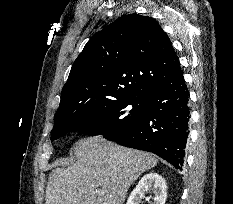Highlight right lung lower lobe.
Returning <instances> with one entry per match:
<instances>
[{"label": "right lung lower lobe", "instance_id": "right-lung-lower-lobe-1", "mask_svg": "<svg viewBox=\"0 0 233 204\" xmlns=\"http://www.w3.org/2000/svg\"><path fill=\"white\" fill-rule=\"evenodd\" d=\"M189 96L179 63L149 92L141 118L108 140L152 152L182 169L189 135Z\"/></svg>", "mask_w": 233, "mask_h": 204}]
</instances>
